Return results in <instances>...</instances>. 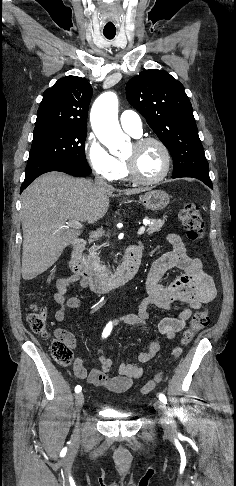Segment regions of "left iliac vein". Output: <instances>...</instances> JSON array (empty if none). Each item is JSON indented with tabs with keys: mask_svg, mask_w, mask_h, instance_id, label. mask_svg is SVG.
Wrapping results in <instances>:
<instances>
[{
	"mask_svg": "<svg viewBox=\"0 0 236 486\" xmlns=\"http://www.w3.org/2000/svg\"><path fill=\"white\" fill-rule=\"evenodd\" d=\"M157 410L161 415V424L167 434H173L175 432V422L169 414L168 408L162 403L157 401L155 403Z\"/></svg>",
	"mask_w": 236,
	"mask_h": 486,
	"instance_id": "left-iliac-vein-1",
	"label": "left iliac vein"
}]
</instances>
